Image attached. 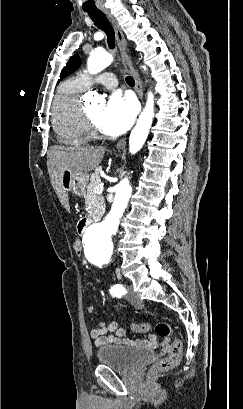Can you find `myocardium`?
<instances>
[{"instance_id":"f54148a6","label":"myocardium","mask_w":243,"mask_h":409,"mask_svg":"<svg viewBox=\"0 0 243 409\" xmlns=\"http://www.w3.org/2000/svg\"><path fill=\"white\" fill-rule=\"evenodd\" d=\"M83 115H84V119H85V123H86L88 131L96 135L98 133V126L96 125L94 120L90 117L86 109L83 110Z\"/></svg>"}]
</instances>
